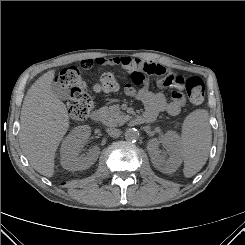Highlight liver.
Masks as SVG:
<instances>
[{"mask_svg":"<svg viewBox=\"0 0 245 245\" xmlns=\"http://www.w3.org/2000/svg\"><path fill=\"white\" fill-rule=\"evenodd\" d=\"M55 71L42 75L28 90L20 116L19 143L31 166L52 177L55 152L69 128L64 103L52 92Z\"/></svg>","mask_w":245,"mask_h":245,"instance_id":"6515ba94","label":"liver"}]
</instances>
